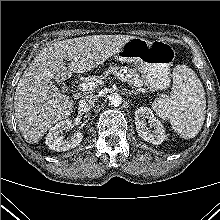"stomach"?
I'll use <instances>...</instances> for the list:
<instances>
[{"mask_svg": "<svg viewBox=\"0 0 220 220\" xmlns=\"http://www.w3.org/2000/svg\"><path fill=\"white\" fill-rule=\"evenodd\" d=\"M114 57L121 62L133 63L149 88L163 90L170 86V67L175 59V50L167 42L134 37Z\"/></svg>", "mask_w": 220, "mask_h": 220, "instance_id": "0dacf381", "label": "stomach"}]
</instances>
